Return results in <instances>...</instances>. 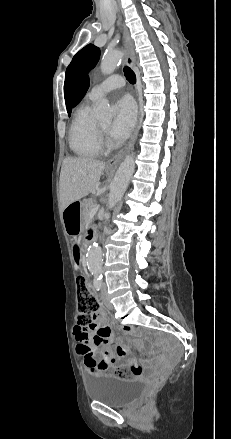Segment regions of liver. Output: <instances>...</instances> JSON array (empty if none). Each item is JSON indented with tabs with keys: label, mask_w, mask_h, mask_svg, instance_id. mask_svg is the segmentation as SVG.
<instances>
[{
	"label": "liver",
	"mask_w": 231,
	"mask_h": 439,
	"mask_svg": "<svg viewBox=\"0 0 231 439\" xmlns=\"http://www.w3.org/2000/svg\"><path fill=\"white\" fill-rule=\"evenodd\" d=\"M104 169L105 163L102 161L82 157L65 158L59 182L61 209L94 192Z\"/></svg>",
	"instance_id": "1"
}]
</instances>
